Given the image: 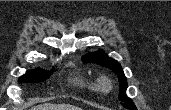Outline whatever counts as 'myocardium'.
Instances as JSON below:
<instances>
[{"label":"myocardium","mask_w":171,"mask_h":110,"mask_svg":"<svg viewBox=\"0 0 171 110\" xmlns=\"http://www.w3.org/2000/svg\"><path fill=\"white\" fill-rule=\"evenodd\" d=\"M97 87L103 93H108L112 89L111 82L106 78H101L98 82Z\"/></svg>","instance_id":"obj_1"}]
</instances>
